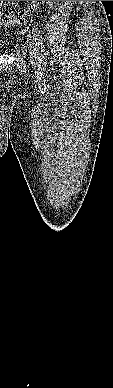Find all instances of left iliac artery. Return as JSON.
<instances>
[{"label": "left iliac artery", "mask_w": 113, "mask_h": 388, "mask_svg": "<svg viewBox=\"0 0 113 388\" xmlns=\"http://www.w3.org/2000/svg\"><path fill=\"white\" fill-rule=\"evenodd\" d=\"M33 38H34L36 51H39L42 48V35L37 26L33 27Z\"/></svg>", "instance_id": "obj_1"}]
</instances>
